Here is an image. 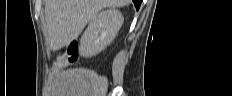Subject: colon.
Wrapping results in <instances>:
<instances>
[{"label": "colon", "instance_id": "obj_1", "mask_svg": "<svg viewBox=\"0 0 232 96\" xmlns=\"http://www.w3.org/2000/svg\"><path fill=\"white\" fill-rule=\"evenodd\" d=\"M79 58L77 42H71L56 61L57 67H63L75 63Z\"/></svg>", "mask_w": 232, "mask_h": 96}]
</instances>
